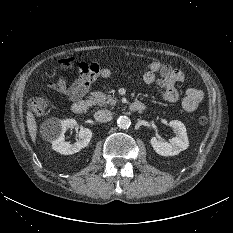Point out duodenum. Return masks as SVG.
I'll return each mask as SVG.
<instances>
[{
  "mask_svg": "<svg viewBox=\"0 0 233 233\" xmlns=\"http://www.w3.org/2000/svg\"><path fill=\"white\" fill-rule=\"evenodd\" d=\"M90 106V100L89 99H78L73 102L72 104V111L77 115L85 114ZM129 109L132 112L142 113L147 110V106L140 102V101H134L129 105Z\"/></svg>",
  "mask_w": 233,
  "mask_h": 233,
  "instance_id": "duodenum-1",
  "label": "duodenum"
}]
</instances>
